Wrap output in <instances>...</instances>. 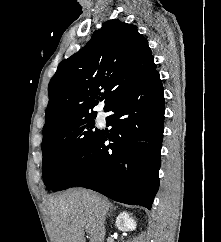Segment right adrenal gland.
I'll return each instance as SVG.
<instances>
[{"mask_svg":"<svg viewBox=\"0 0 221 242\" xmlns=\"http://www.w3.org/2000/svg\"><path fill=\"white\" fill-rule=\"evenodd\" d=\"M116 208H117L116 206H112V207H111V211H110L109 216H112V211H115V210H116Z\"/></svg>","mask_w":221,"mask_h":242,"instance_id":"right-adrenal-gland-1","label":"right adrenal gland"}]
</instances>
